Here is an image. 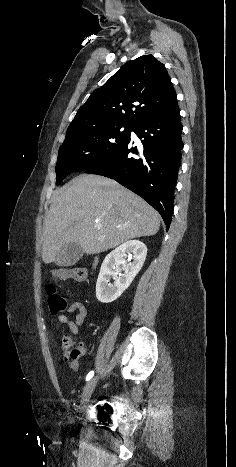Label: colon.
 Wrapping results in <instances>:
<instances>
[{"label":"colon","instance_id":"obj_1","mask_svg":"<svg viewBox=\"0 0 236 467\" xmlns=\"http://www.w3.org/2000/svg\"><path fill=\"white\" fill-rule=\"evenodd\" d=\"M53 277L56 280L72 279L83 281L86 277V271L82 267H58L53 271ZM47 305L52 315H57L65 310L66 301L63 296L57 292L54 285L50 284L47 289ZM63 360L71 368H76L82 348L75 345L71 338L63 339Z\"/></svg>","mask_w":236,"mask_h":467}]
</instances>
